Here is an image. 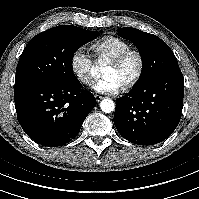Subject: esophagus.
<instances>
[{
  "label": "esophagus",
  "mask_w": 199,
  "mask_h": 199,
  "mask_svg": "<svg viewBox=\"0 0 199 199\" xmlns=\"http://www.w3.org/2000/svg\"><path fill=\"white\" fill-rule=\"evenodd\" d=\"M94 97H95V100L97 101V102H100L102 99H103V97L102 96H100V95H94Z\"/></svg>",
  "instance_id": "obj_1"
}]
</instances>
